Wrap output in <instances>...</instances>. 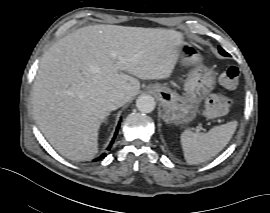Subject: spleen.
Returning <instances> with one entry per match:
<instances>
[{"label": "spleen", "instance_id": "obj_1", "mask_svg": "<svg viewBox=\"0 0 270 213\" xmlns=\"http://www.w3.org/2000/svg\"><path fill=\"white\" fill-rule=\"evenodd\" d=\"M237 121L213 127L207 133L185 130L181 134L184 158L189 164L203 163L217 155L229 143Z\"/></svg>", "mask_w": 270, "mask_h": 213}]
</instances>
